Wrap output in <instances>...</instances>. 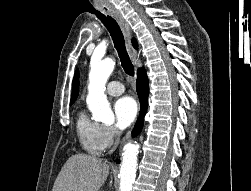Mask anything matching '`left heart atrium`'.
I'll use <instances>...</instances> for the list:
<instances>
[{
  "label": "left heart atrium",
  "mask_w": 251,
  "mask_h": 191,
  "mask_svg": "<svg viewBox=\"0 0 251 191\" xmlns=\"http://www.w3.org/2000/svg\"><path fill=\"white\" fill-rule=\"evenodd\" d=\"M137 104L130 97L118 99L114 104L115 126L118 130L129 127L137 116Z\"/></svg>",
  "instance_id": "left-heart-atrium-1"
}]
</instances>
